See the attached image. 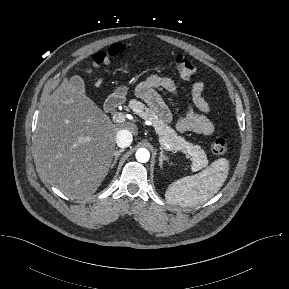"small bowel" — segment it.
I'll return each instance as SVG.
<instances>
[{
  "mask_svg": "<svg viewBox=\"0 0 289 289\" xmlns=\"http://www.w3.org/2000/svg\"><path fill=\"white\" fill-rule=\"evenodd\" d=\"M205 88L206 85L202 81L193 84L191 97L197 111L190 107L185 109L184 115L175 122L178 132H193L204 136H209L214 132V125L207 117L210 112V105L203 97ZM160 91H166L175 96L178 95L174 80L164 76L151 75L137 88L138 96L145 100L165 122H171V112L161 98Z\"/></svg>",
  "mask_w": 289,
  "mask_h": 289,
  "instance_id": "obj_1",
  "label": "small bowel"
}]
</instances>
